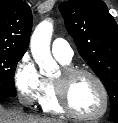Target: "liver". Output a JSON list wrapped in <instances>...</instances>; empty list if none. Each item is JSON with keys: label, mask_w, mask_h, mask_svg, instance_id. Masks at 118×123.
<instances>
[{"label": "liver", "mask_w": 118, "mask_h": 123, "mask_svg": "<svg viewBox=\"0 0 118 123\" xmlns=\"http://www.w3.org/2000/svg\"><path fill=\"white\" fill-rule=\"evenodd\" d=\"M0 123H64L55 118H41L18 110H6L0 105Z\"/></svg>", "instance_id": "1"}]
</instances>
